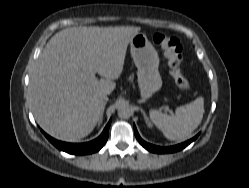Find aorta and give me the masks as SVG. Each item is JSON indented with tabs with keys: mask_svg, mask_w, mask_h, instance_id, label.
Instances as JSON below:
<instances>
[{
	"mask_svg": "<svg viewBox=\"0 0 249 188\" xmlns=\"http://www.w3.org/2000/svg\"><path fill=\"white\" fill-rule=\"evenodd\" d=\"M118 117L121 119H128L130 118L132 111L129 106L122 105L117 110Z\"/></svg>",
	"mask_w": 249,
	"mask_h": 188,
	"instance_id": "762f6f07",
	"label": "aorta"
}]
</instances>
